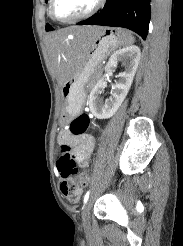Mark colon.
I'll return each mask as SVG.
<instances>
[{
  "label": "colon",
  "mask_w": 183,
  "mask_h": 246,
  "mask_svg": "<svg viewBox=\"0 0 183 246\" xmlns=\"http://www.w3.org/2000/svg\"><path fill=\"white\" fill-rule=\"evenodd\" d=\"M91 126L87 114H79L70 123V131L74 135L85 134ZM70 147L62 144L59 149L57 168L60 173V190L63 197L69 202L76 203L80 200L83 188L89 181V172L81 171L69 154Z\"/></svg>",
  "instance_id": "1"
}]
</instances>
